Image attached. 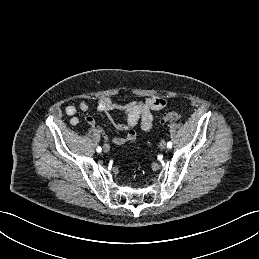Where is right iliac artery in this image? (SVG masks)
<instances>
[{"mask_svg":"<svg viewBox=\"0 0 259 259\" xmlns=\"http://www.w3.org/2000/svg\"><path fill=\"white\" fill-rule=\"evenodd\" d=\"M96 150L97 152H101L102 148L98 146Z\"/></svg>","mask_w":259,"mask_h":259,"instance_id":"82829eb1","label":"right iliac artery"}]
</instances>
